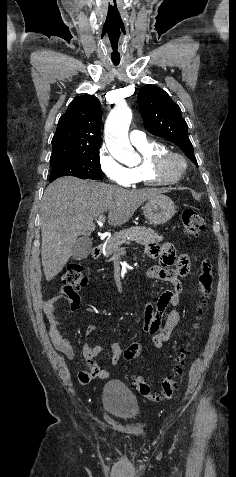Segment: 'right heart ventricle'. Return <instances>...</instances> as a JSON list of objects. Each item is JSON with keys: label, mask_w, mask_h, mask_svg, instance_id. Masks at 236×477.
<instances>
[{"label": "right heart ventricle", "mask_w": 236, "mask_h": 477, "mask_svg": "<svg viewBox=\"0 0 236 477\" xmlns=\"http://www.w3.org/2000/svg\"><path fill=\"white\" fill-rule=\"evenodd\" d=\"M141 155V162L133 167L127 168L130 177V185L138 184L158 185L163 184L155 180L148 172V162L150 158L162 151H166V147L156 141L146 140L145 142L135 145Z\"/></svg>", "instance_id": "e07e8e85"}]
</instances>
